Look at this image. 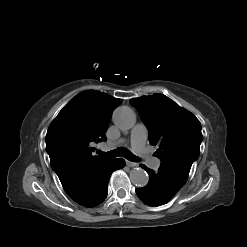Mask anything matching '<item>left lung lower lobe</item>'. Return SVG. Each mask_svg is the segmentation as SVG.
<instances>
[{"instance_id":"0a47b994","label":"left lung lower lobe","mask_w":247,"mask_h":247,"mask_svg":"<svg viewBox=\"0 0 247 247\" xmlns=\"http://www.w3.org/2000/svg\"><path fill=\"white\" fill-rule=\"evenodd\" d=\"M140 166L149 174L150 182L147 186L136 189V193L139 199L149 206L167 203L184 185L161 168L154 172L143 164Z\"/></svg>"}]
</instances>
